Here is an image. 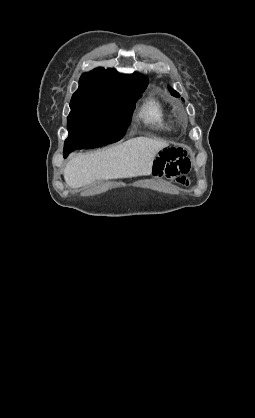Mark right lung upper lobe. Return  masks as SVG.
Segmentation results:
<instances>
[{"mask_svg":"<svg viewBox=\"0 0 255 418\" xmlns=\"http://www.w3.org/2000/svg\"><path fill=\"white\" fill-rule=\"evenodd\" d=\"M148 84V79L138 73L122 75L114 69L97 68L82 74L79 88L74 93L114 92L126 93L139 91Z\"/></svg>","mask_w":255,"mask_h":418,"instance_id":"obj_1","label":"right lung upper lobe"}]
</instances>
